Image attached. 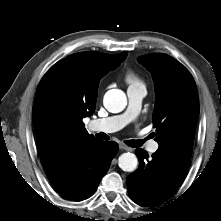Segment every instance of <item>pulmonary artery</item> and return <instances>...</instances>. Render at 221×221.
<instances>
[{"mask_svg":"<svg viewBox=\"0 0 221 221\" xmlns=\"http://www.w3.org/2000/svg\"><path fill=\"white\" fill-rule=\"evenodd\" d=\"M146 94V89L143 85H131L127 89L128 107L122 114L96 119L89 123L90 130L112 133L125 127L132 122L139 114L141 109L142 99ZM159 144L155 141L148 142V150L152 153L156 152Z\"/></svg>","mask_w":221,"mask_h":221,"instance_id":"pulmonary-artery-1","label":"pulmonary artery"}]
</instances>
